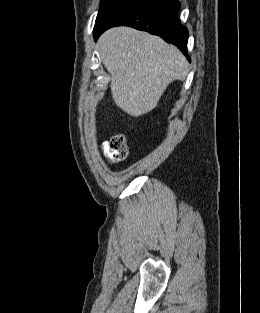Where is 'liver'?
I'll return each mask as SVG.
<instances>
[{
    "mask_svg": "<svg viewBox=\"0 0 260 313\" xmlns=\"http://www.w3.org/2000/svg\"><path fill=\"white\" fill-rule=\"evenodd\" d=\"M97 47L111 75L115 104L133 117L152 110L168 85L184 80L189 72V63L177 47L130 27L107 30Z\"/></svg>",
    "mask_w": 260,
    "mask_h": 313,
    "instance_id": "liver-1",
    "label": "liver"
}]
</instances>
